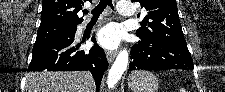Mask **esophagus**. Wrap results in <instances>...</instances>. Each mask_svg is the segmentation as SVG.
Segmentation results:
<instances>
[{"label":"esophagus","instance_id":"34e87169","mask_svg":"<svg viewBox=\"0 0 225 92\" xmlns=\"http://www.w3.org/2000/svg\"><path fill=\"white\" fill-rule=\"evenodd\" d=\"M117 52L116 51H107L106 56L109 63H112L114 58L116 57Z\"/></svg>","mask_w":225,"mask_h":92}]
</instances>
